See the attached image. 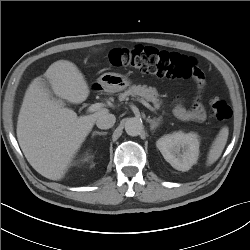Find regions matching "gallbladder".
<instances>
[{
  "instance_id": "1",
  "label": "gallbladder",
  "mask_w": 250,
  "mask_h": 250,
  "mask_svg": "<svg viewBox=\"0 0 250 250\" xmlns=\"http://www.w3.org/2000/svg\"><path fill=\"white\" fill-rule=\"evenodd\" d=\"M44 83V86L46 87V88H48L49 89V86H48V84L44 81L43 82ZM50 90V89H49ZM51 95L53 96V94L51 93Z\"/></svg>"
}]
</instances>
